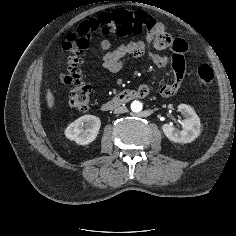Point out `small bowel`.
<instances>
[{
    "mask_svg": "<svg viewBox=\"0 0 236 236\" xmlns=\"http://www.w3.org/2000/svg\"><path fill=\"white\" fill-rule=\"evenodd\" d=\"M100 48L104 52L102 66L111 74L120 72L125 62L131 57L138 58L146 55L151 63L158 68L166 67L171 62L173 79L162 86L160 90L162 96H173L177 93L184 80L185 54L188 51V44L182 38H172L171 41L166 42L162 37L157 36L153 32H148L145 40L122 43L115 49H112L111 41L104 38L100 42ZM167 48H171L173 52L171 58L156 52ZM139 91L143 95H147L149 88L146 85H142Z\"/></svg>",
    "mask_w": 236,
    "mask_h": 236,
    "instance_id": "1",
    "label": "small bowel"
}]
</instances>
